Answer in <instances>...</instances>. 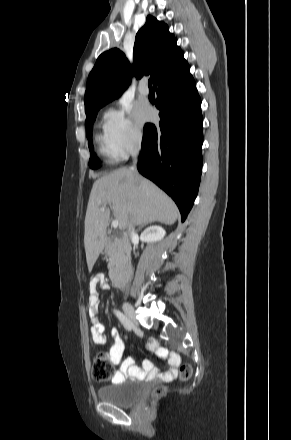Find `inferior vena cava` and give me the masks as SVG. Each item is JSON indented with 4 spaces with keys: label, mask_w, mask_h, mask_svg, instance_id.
Instances as JSON below:
<instances>
[{
    "label": "inferior vena cava",
    "mask_w": 291,
    "mask_h": 440,
    "mask_svg": "<svg viewBox=\"0 0 291 440\" xmlns=\"http://www.w3.org/2000/svg\"><path fill=\"white\" fill-rule=\"evenodd\" d=\"M139 151H140V144H138L136 147H135V149L133 150V152H132V157H133V166H132V170L134 171V172H136V164H137V156H138V154H139ZM128 236L129 237H132L134 234H135V231H134V227H133V224H132V222H130L129 223V225H128Z\"/></svg>",
    "instance_id": "1"
}]
</instances>
